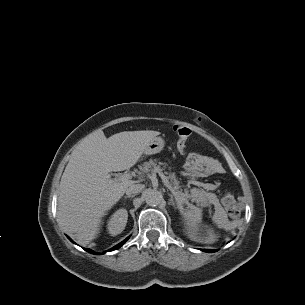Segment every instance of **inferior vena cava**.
Segmentation results:
<instances>
[{"instance_id":"602c4592","label":"inferior vena cava","mask_w":305,"mask_h":305,"mask_svg":"<svg viewBox=\"0 0 305 305\" xmlns=\"http://www.w3.org/2000/svg\"><path fill=\"white\" fill-rule=\"evenodd\" d=\"M144 188L142 184H133L126 190L127 195L137 194L140 193Z\"/></svg>"}]
</instances>
